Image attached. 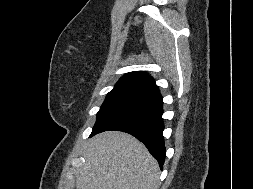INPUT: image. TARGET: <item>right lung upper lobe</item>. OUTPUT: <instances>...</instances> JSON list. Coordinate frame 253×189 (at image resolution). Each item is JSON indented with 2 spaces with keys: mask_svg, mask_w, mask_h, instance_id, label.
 <instances>
[{
  "mask_svg": "<svg viewBox=\"0 0 253 189\" xmlns=\"http://www.w3.org/2000/svg\"><path fill=\"white\" fill-rule=\"evenodd\" d=\"M118 88L140 90L147 94L158 90L154 79L143 71H135L125 74L114 87V89Z\"/></svg>",
  "mask_w": 253,
  "mask_h": 189,
  "instance_id": "obj_1",
  "label": "right lung upper lobe"
}]
</instances>
